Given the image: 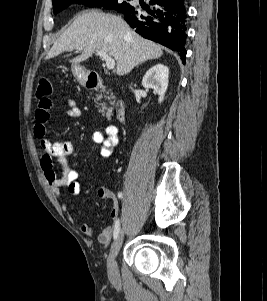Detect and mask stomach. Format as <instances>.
<instances>
[{"instance_id":"1","label":"stomach","mask_w":267,"mask_h":301,"mask_svg":"<svg viewBox=\"0 0 267 301\" xmlns=\"http://www.w3.org/2000/svg\"><path fill=\"white\" fill-rule=\"evenodd\" d=\"M72 73L80 84L86 83L88 75L87 71L83 67L79 65H72Z\"/></svg>"}]
</instances>
